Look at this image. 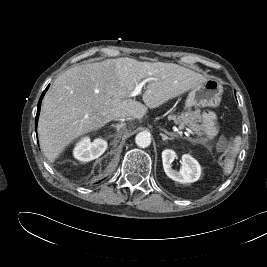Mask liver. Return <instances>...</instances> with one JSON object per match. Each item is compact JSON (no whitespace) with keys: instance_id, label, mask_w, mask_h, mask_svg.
Segmentation results:
<instances>
[{"instance_id":"1","label":"liver","mask_w":267,"mask_h":267,"mask_svg":"<svg viewBox=\"0 0 267 267\" xmlns=\"http://www.w3.org/2000/svg\"><path fill=\"white\" fill-rule=\"evenodd\" d=\"M142 103L129 97L142 79ZM207 79L174 63L139 62L131 58L108 59L79 65L54 81L42 102L38 135L44 155L54 161L75 139L96 131L112 120L142 119L154 109Z\"/></svg>"}]
</instances>
